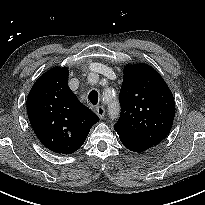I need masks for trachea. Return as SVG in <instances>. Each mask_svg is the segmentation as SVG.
I'll return each instance as SVG.
<instances>
[{
	"instance_id": "obj_1",
	"label": "trachea",
	"mask_w": 205,
	"mask_h": 205,
	"mask_svg": "<svg viewBox=\"0 0 205 205\" xmlns=\"http://www.w3.org/2000/svg\"><path fill=\"white\" fill-rule=\"evenodd\" d=\"M90 102L93 104V105H96L98 103V100H99V95L97 93V91L95 90H92L90 93H89V96H88Z\"/></svg>"
}]
</instances>
